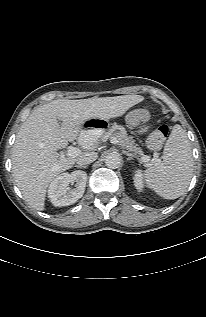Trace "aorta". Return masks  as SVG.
I'll use <instances>...</instances> for the list:
<instances>
[{
  "label": "aorta",
  "instance_id": "762f6f07",
  "mask_svg": "<svg viewBox=\"0 0 206 317\" xmlns=\"http://www.w3.org/2000/svg\"><path fill=\"white\" fill-rule=\"evenodd\" d=\"M105 164L108 168L111 169H116L120 166L121 164V157L117 153H109L105 157Z\"/></svg>",
  "mask_w": 206,
  "mask_h": 317
}]
</instances>
